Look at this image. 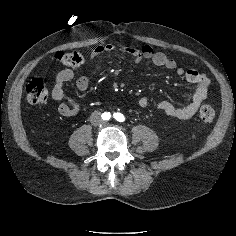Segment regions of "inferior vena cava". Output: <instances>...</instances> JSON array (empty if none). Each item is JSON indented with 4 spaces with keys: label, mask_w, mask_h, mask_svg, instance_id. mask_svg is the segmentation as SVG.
I'll return each mask as SVG.
<instances>
[{
    "label": "inferior vena cava",
    "mask_w": 236,
    "mask_h": 236,
    "mask_svg": "<svg viewBox=\"0 0 236 236\" xmlns=\"http://www.w3.org/2000/svg\"><path fill=\"white\" fill-rule=\"evenodd\" d=\"M100 112L99 111H94L91 116H90V122L93 125H98L102 122L101 116H100Z\"/></svg>",
    "instance_id": "602c4592"
}]
</instances>
